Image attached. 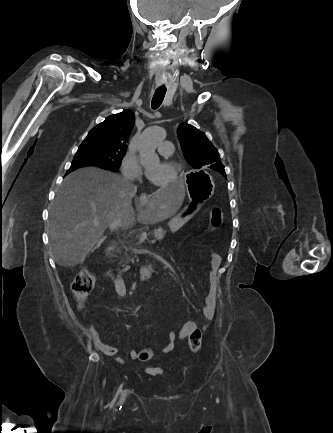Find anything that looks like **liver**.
Masks as SVG:
<instances>
[{
	"label": "liver",
	"instance_id": "obj_1",
	"mask_svg": "<svg viewBox=\"0 0 333 433\" xmlns=\"http://www.w3.org/2000/svg\"><path fill=\"white\" fill-rule=\"evenodd\" d=\"M186 183H166L137 221L155 224L177 215L187 201ZM137 189L124 177L97 167L66 176L50 206L49 238L55 261L64 267L84 262L114 217L126 228Z\"/></svg>",
	"mask_w": 333,
	"mask_h": 433
}]
</instances>
